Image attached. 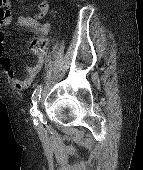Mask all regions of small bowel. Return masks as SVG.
<instances>
[{"mask_svg":"<svg viewBox=\"0 0 143 170\" xmlns=\"http://www.w3.org/2000/svg\"><path fill=\"white\" fill-rule=\"evenodd\" d=\"M47 1H40L37 4V8L32 15H8L6 18L0 20V65L8 75V77L13 81L14 86L17 89L27 88L33 81V79L40 72L44 62L45 56H40L35 63L29 65L26 68L25 76L21 79L16 77V71L14 70L10 60L6 56L4 51V41L6 38L5 28L11 25H18L35 31L38 34H47L50 29L49 23H39L38 20L43 18L48 11Z\"/></svg>","mask_w":143,"mask_h":170,"instance_id":"c3829d8e","label":"small bowel"}]
</instances>
